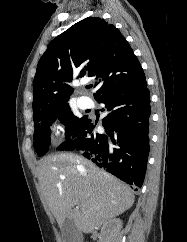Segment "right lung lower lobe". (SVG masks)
I'll list each match as a JSON object with an SVG mask.
<instances>
[{
  "instance_id": "obj_1",
  "label": "right lung lower lobe",
  "mask_w": 187,
  "mask_h": 242,
  "mask_svg": "<svg viewBox=\"0 0 187 242\" xmlns=\"http://www.w3.org/2000/svg\"><path fill=\"white\" fill-rule=\"evenodd\" d=\"M109 114L98 134L88 117L59 150H76L127 184L141 187L149 154L150 93L145 77L100 96Z\"/></svg>"
}]
</instances>
